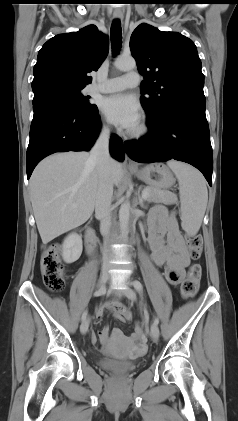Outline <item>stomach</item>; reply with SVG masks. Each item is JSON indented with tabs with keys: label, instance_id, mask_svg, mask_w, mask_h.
<instances>
[{
	"label": "stomach",
	"instance_id": "0dacf381",
	"mask_svg": "<svg viewBox=\"0 0 238 421\" xmlns=\"http://www.w3.org/2000/svg\"><path fill=\"white\" fill-rule=\"evenodd\" d=\"M131 172L150 187L166 190L175 184L172 172L161 163L149 164L142 169L131 170Z\"/></svg>",
	"mask_w": 238,
	"mask_h": 421
}]
</instances>
